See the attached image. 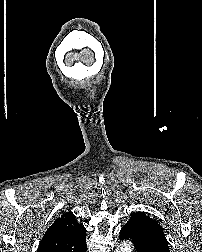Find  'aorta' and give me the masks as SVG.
Returning a JSON list of instances; mask_svg holds the SVG:
<instances>
[{
  "instance_id": "obj_1",
  "label": "aorta",
  "mask_w": 202,
  "mask_h": 252,
  "mask_svg": "<svg viewBox=\"0 0 202 252\" xmlns=\"http://www.w3.org/2000/svg\"><path fill=\"white\" fill-rule=\"evenodd\" d=\"M116 252H132V248L129 242H123L118 245Z\"/></svg>"
}]
</instances>
